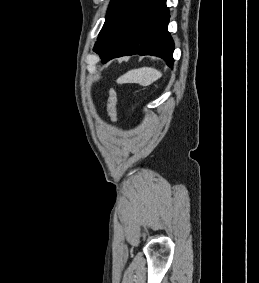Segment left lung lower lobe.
<instances>
[{
  "label": "left lung lower lobe",
  "mask_w": 259,
  "mask_h": 283,
  "mask_svg": "<svg viewBox=\"0 0 259 283\" xmlns=\"http://www.w3.org/2000/svg\"><path fill=\"white\" fill-rule=\"evenodd\" d=\"M169 17L166 0H124L93 50L102 63L139 54L161 57L172 67L174 42L167 31Z\"/></svg>",
  "instance_id": "1"
}]
</instances>
